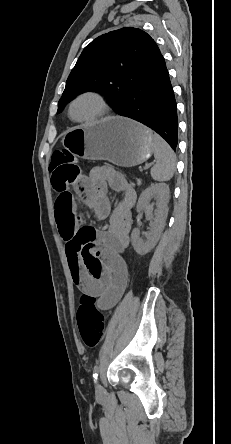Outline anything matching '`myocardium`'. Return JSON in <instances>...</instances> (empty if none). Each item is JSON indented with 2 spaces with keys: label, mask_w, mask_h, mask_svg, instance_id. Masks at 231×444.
<instances>
[{
  "label": "myocardium",
  "mask_w": 231,
  "mask_h": 444,
  "mask_svg": "<svg viewBox=\"0 0 231 444\" xmlns=\"http://www.w3.org/2000/svg\"><path fill=\"white\" fill-rule=\"evenodd\" d=\"M85 96L94 97L100 104V110L98 111V113L96 115H94L90 118L76 119L73 117V114H72L73 106L77 100H79L80 98L85 97ZM109 110H110L109 104H108L106 98L100 92L95 91V90H86V91L79 93L78 95H76L72 99V101L69 104L68 114H69V117L71 118V120L76 123H92V122L99 121V120L103 119L104 117H106L109 113Z\"/></svg>",
  "instance_id": "myocardium-1"
}]
</instances>
